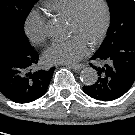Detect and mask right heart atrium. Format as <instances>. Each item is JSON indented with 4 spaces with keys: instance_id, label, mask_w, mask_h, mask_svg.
Masks as SVG:
<instances>
[{
    "instance_id": "d8ad5b80",
    "label": "right heart atrium",
    "mask_w": 135,
    "mask_h": 135,
    "mask_svg": "<svg viewBox=\"0 0 135 135\" xmlns=\"http://www.w3.org/2000/svg\"><path fill=\"white\" fill-rule=\"evenodd\" d=\"M24 30L28 39L34 44H42L48 38L46 19L42 13L32 10L24 22Z\"/></svg>"
}]
</instances>
